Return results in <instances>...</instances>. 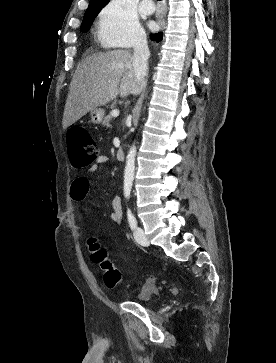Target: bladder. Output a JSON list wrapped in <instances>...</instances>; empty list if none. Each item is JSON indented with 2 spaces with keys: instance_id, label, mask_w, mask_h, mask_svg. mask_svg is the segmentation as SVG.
Listing matches in <instances>:
<instances>
[{
  "instance_id": "31cf9c89",
  "label": "bladder",
  "mask_w": 276,
  "mask_h": 363,
  "mask_svg": "<svg viewBox=\"0 0 276 363\" xmlns=\"http://www.w3.org/2000/svg\"><path fill=\"white\" fill-rule=\"evenodd\" d=\"M160 296V289L156 286H149L144 289L141 295L138 296L136 301L141 304H153Z\"/></svg>"
}]
</instances>
